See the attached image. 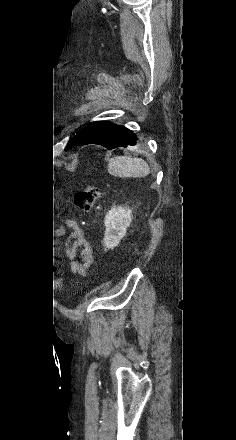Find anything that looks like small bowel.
Wrapping results in <instances>:
<instances>
[{"label":"small bowel","instance_id":"obj_1","mask_svg":"<svg viewBox=\"0 0 236 440\" xmlns=\"http://www.w3.org/2000/svg\"><path fill=\"white\" fill-rule=\"evenodd\" d=\"M66 224L72 229L71 246L68 249V255L72 258L70 270L74 275L85 276L93 264L92 247L75 220L67 219Z\"/></svg>","mask_w":236,"mask_h":440}]
</instances>
